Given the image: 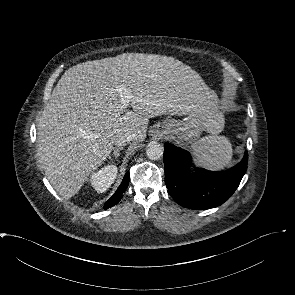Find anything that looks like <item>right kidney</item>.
<instances>
[{
    "label": "right kidney",
    "instance_id": "ca27d5eb",
    "mask_svg": "<svg viewBox=\"0 0 295 295\" xmlns=\"http://www.w3.org/2000/svg\"><path fill=\"white\" fill-rule=\"evenodd\" d=\"M117 176V167L115 165H107L99 171L94 172L90 176L91 186L98 192L107 191L114 183Z\"/></svg>",
    "mask_w": 295,
    "mask_h": 295
}]
</instances>
